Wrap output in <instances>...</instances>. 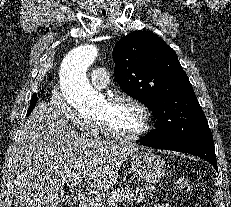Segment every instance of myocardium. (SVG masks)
<instances>
[{
	"label": "myocardium",
	"mask_w": 231,
	"mask_h": 207,
	"mask_svg": "<svg viewBox=\"0 0 231 207\" xmlns=\"http://www.w3.org/2000/svg\"><path fill=\"white\" fill-rule=\"evenodd\" d=\"M107 102L111 105L126 102L136 106L143 115L144 123L141 130L134 134L126 135L115 131L106 120L98 118L97 123L99 124L101 132L104 134L105 137L119 142H133L149 134L153 126L152 113L150 109L147 107V105L144 104L141 100L131 95L118 94L108 97Z\"/></svg>",
	"instance_id": "f54148a6"
}]
</instances>
